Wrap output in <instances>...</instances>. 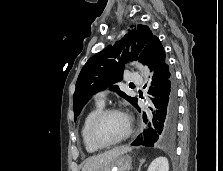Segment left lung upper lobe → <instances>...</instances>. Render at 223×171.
I'll return each instance as SVG.
<instances>
[{"instance_id":"obj_1","label":"left lung upper lobe","mask_w":223,"mask_h":171,"mask_svg":"<svg viewBox=\"0 0 223 171\" xmlns=\"http://www.w3.org/2000/svg\"><path fill=\"white\" fill-rule=\"evenodd\" d=\"M132 30L114 46H108L91 57L83 66L73 95L74 117L80 114L84 105L97 92L106 89L122 79L124 63L138 60L147 63L148 57L157 41H160L146 25L131 26ZM120 96L133 106L137 98L127 96L118 86H112Z\"/></svg>"}]
</instances>
